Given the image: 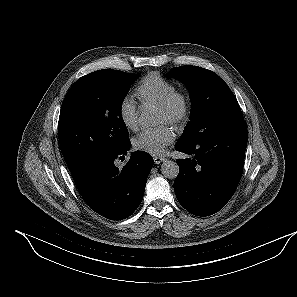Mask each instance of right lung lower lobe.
Wrapping results in <instances>:
<instances>
[{
	"label": "right lung lower lobe",
	"mask_w": 297,
	"mask_h": 297,
	"mask_svg": "<svg viewBox=\"0 0 297 297\" xmlns=\"http://www.w3.org/2000/svg\"><path fill=\"white\" fill-rule=\"evenodd\" d=\"M130 145L129 142L114 153L93 156L71 171L85 202L107 219H125L138 208L154 164L149 154L135 151L122 168L117 167V160L125 159Z\"/></svg>",
	"instance_id": "obj_1"
}]
</instances>
